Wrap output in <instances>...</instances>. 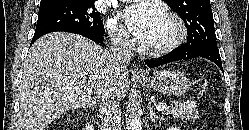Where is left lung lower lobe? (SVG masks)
Instances as JSON below:
<instances>
[{
	"label": "left lung lower lobe",
	"mask_w": 249,
	"mask_h": 130,
	"mask_svg": "<svg viewBox=\"0 0 249 130\" xmlns=\"http://www.w3.org/2000/svg\"><path fill=\"white\" fill-rule=\"evenodd\" d=\"M197 57H203L211 60L223 72L221 57L218 48L207 45L180 46L178 48H175L170 53L166 54L163 58L147 60L146 63L149 68H153L173 61L188 60Z\"/></svg>",
	"instance_id": "1"
}]
</instances>
